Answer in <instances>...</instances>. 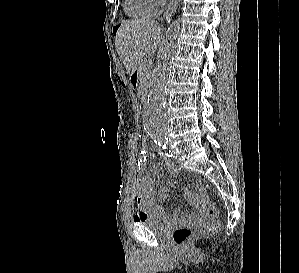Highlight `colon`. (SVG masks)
Returning a JSON list of instances; mask_svg holds the SVG:
<instances>
[{
    "label": "colon",
    "instance_id": "1",
    "mask_svg": "<svg viewBox=\"0 0 299 273\" xmlns=\"http://www.w3.org/2000/svg\"><path fill=\"white\" fill-rule=\"evenodd\" d=\"M142 149L148 150V139L146 136H142L140 139ZM219 210L216 205H210L207 210L209 219L214 220L218 216ZM215 223H207L199 228H192L189 226H180L173 232V240L177 245H184L188 243L195 233H207L214 230Z\"/></svg>",
    "mask_w": 299,
    "mask_h": 273
}]
</instances>
